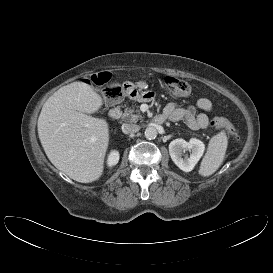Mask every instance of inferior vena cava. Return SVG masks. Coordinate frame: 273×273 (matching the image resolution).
<instances>
[{"label": "inferior vena cava", "mask_w": 273, "mask_h": 273, "mask_svg": "<svg viewBox=\"0 0 273 273\" xmlns=\"http://www.w3.org/2000/svg\"><path fill=\"white\" fill-rule=\"evenodd\" d=\"M140 130V127L136 124H123L122 132L125 134H135Z\"/></svg>", "instance_id": "obj_1"}]
</instances>
